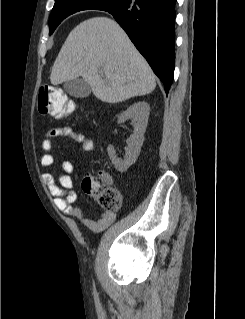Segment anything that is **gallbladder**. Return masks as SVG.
Instances as JSON below:
<instances>
[{"label": "gallbladder", "mask_w": 245, "mask_h": 319, "mask_svg": "<svg viewBox=\"0 0 245 319\" xmlns=\"http://www.w3.org/2000/svg\"><path fill=\"white\" fill-rule=\"evenodd\" d=\"M64 90L75 98H85L91 93L90 85L82 78H76L64 83Z\"/></svg>", "instance_id": "bac80fb5"}]
</instances>
